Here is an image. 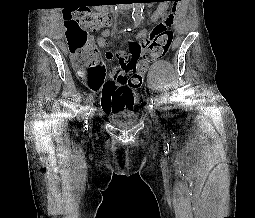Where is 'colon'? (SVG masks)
<instances>
[{
    "label": "colon",
    "mask_w": 255,
    "mask_h": 218,
    "mask_svg": "<svg viewBox=\"0 0 255 218\" xmlns=\"http://www.w3.org/2000/svg\"><path fill=\"white\" fill-rule=\"evenodd\" d=\"M63 16L68 50L77 79L92 91H102V107L107 112L132 110L135 103L132 90L141 87L148 65L162 58L171 46L173 33L168 27L173 24L174 15H166L152 29L142 31L138 39L125 40L128 61L124 71L110 73L105 60H111L115 55L111 51L102 54L96 48L92 33L109 27L112 18L88 8L67 9ZM116 57L121 60L123 55L117 54Z\"/></svg>",
    "instance_id": "colon-1"
}]
</instances>
